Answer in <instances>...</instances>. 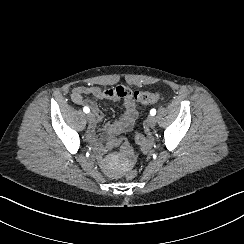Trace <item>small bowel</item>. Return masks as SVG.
<instances>
[{
	"label": "small bowel",
	"mask_w": 244,
	"mask_h": 244,
	"mask_svg": "<svg viewBox=\"0 0 244 244\" xmlns=\"http://www.w3.org/2000/svg\"><path fill=\"white\" fill-rule=\"evenodd\" d=\"M85 94H92L98 99H105V92L98 86H79L72 90L70 95L71 101L76 105H87L91 108L92 113L96 120L102 118V113L98 109L97 105L89 100H84ZM124 113L115 122L108 123L104 126L103 132L100 133L96 140L100 143L107 141V144L118 145L121 140L116 137L122 133L129 131L138 117V108L131 96H128L123 100ZM90 131H94V127H90ZM148 147L147 145L143 146Z\"/></svg>",
	"instance_id": "1"
}]
</instances>
